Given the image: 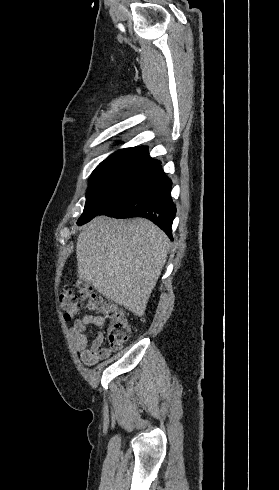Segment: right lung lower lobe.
Segmentation results:
<instances>
[{
    "mask_svg": "<svg viewBox=\"0 0 279 490\" xmlns=\"http://www.w3.org/2000/svg\"><path fill=\"white\" fill-rule=\"evenodd\" d=\"M171 187L172 181L161 167L150 179L129 185L112 194L105 201L99 215L114 218L145 217L173 240L171 226L176 206L171 198Z\"/></svg>",
    "mask_w": 279,
    "mask_h": 490,
    "instance_id": "1",
    "label": "right lung lower lobe"
}]
</instances>
